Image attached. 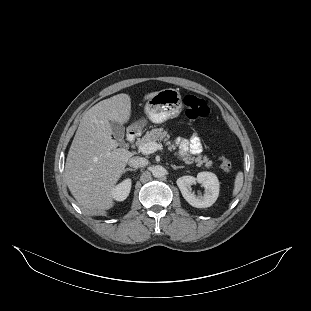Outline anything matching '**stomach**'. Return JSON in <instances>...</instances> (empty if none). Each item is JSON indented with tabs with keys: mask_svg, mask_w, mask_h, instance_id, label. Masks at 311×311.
<instances>
[{
	"mask_svg": "<svg viewBox=\"0 0 311 311\" xmlns=\"http://www.w3.org/2000/svg\"><path fill=\"white\" fill-rule=\"evenodd\" d=\"M183 102L181 93L174 88L159 91L145 104V113L153 123H163L181 115Z\"/></svg>",
	"mask_w": 311,
	"mask_h": 311,
	"instance_id": "stomach-1",
	"label": "stomach"
}]
</instances>
